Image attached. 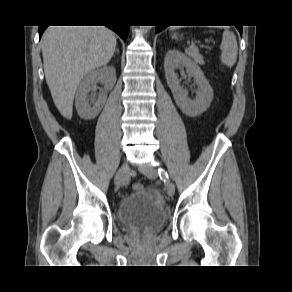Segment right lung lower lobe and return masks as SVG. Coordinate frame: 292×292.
<instances>
[{
    "mask_svg": "<svg viewBox=\"0 0 292 292\" xmlns=\"http://www.w3.org/2000/svg\"><path fill=\"white\" fill-rule=\"evenodd\" d=\"M47 27V26H46ZM46 27L39 26V37L41 38L44 30ZM110 29L115 31L122 39L126 40L129 32V26L128 25H119V24H113V25H107Z\"/></svg>",
    "mask_w": 292,
    "mask_h": 292,
    "instance_id": "1",
    "label": "right lung lower lobe"
}]
</instances>
